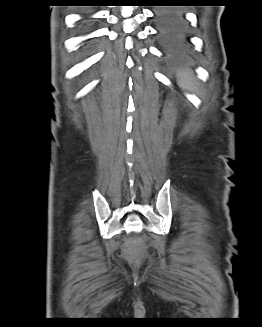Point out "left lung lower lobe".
<instances>
[{
	"instance_id": "left-lung-lower-lobe-1",
	"label": "left lung lower lobe",
	"mask_w": 262,
	"mask_h": 327,
	"mask_svg": "<svg viewBox=\"0 0 262 327\" xmlns=\"http://www.w3.org/2000/svg\"><path fill=\"white\" fill-rule=\"evenodd\" d=\"M155 16L158 19V32L167 50L170 53H186L190 41L186 38L185 17L174 9H158Z\"/></svg>"
}]
</instances>
